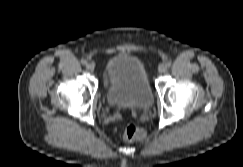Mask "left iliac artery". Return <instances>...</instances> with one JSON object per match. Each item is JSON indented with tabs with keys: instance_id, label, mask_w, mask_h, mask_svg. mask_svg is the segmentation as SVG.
Returning a JSON list of instances; mask_svg holds the SVG:
<instances>
[{
	"instance_id": "left-iliac-artery-1",
	"label": "left iliac artery",
	"mask_w": 243,
	"mask_h": 167,
	"mask_svg": "<svg viewBox=\"0 0 243 167\" xmlns=\"http://www.w3.org/2000/svg\"><path fill=\"white\" fill-rule=\"evenodd\" d=\"M170 66H171V62H167L166 67H170Z\"/></svg>"
}]
</instances>
